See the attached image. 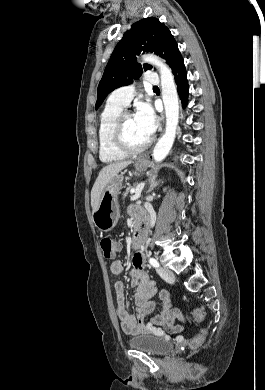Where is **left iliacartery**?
<instances>
[{"instance_id": "1", "label": "left iliac artery", "mask_w": 265, "mask_h": 390, "mask_svg": "<svg viewBox=\"0 0 265 390\" xmlns=\"http://www.w3.org/2000/svg\"><path fill=\"white\" fill-rule=\"evenodd\" d=\"M149 263H150L153 267H159L158 261H157L155 258H153V257L149 259Z\"/></svg>"}]
</instances>
